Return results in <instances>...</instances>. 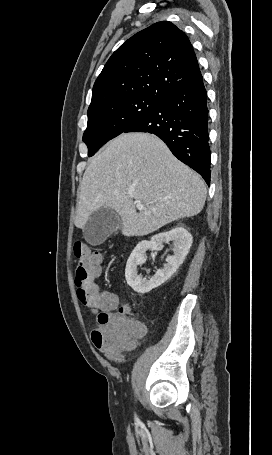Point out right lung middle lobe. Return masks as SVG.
Returning a JSON list of instances; mask_svg holds the SVG:
<instances>
[{
  "label": "right lung middle lobe",
  "mask_w": 272,
  "mask_h": 455,
  "mask_svg": "<svg viewBox=\"0 0 272 455\" xmlns=\"http://www.w3.org/2000/svg\"><path fill=\"white\" fill-rule=\"evenodd\" d=\"M162 101L161 97L139 95L89 109L88 125L83 135L88 156L94 155L107 141L156 110Z\"/></svg>",
  "instance_id": "right-lung-middle-lobe-1"
}]
</instances>
